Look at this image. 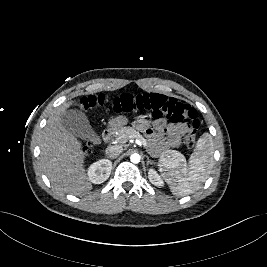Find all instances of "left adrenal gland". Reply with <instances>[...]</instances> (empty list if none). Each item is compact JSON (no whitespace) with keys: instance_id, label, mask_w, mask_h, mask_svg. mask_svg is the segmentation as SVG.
<instances>
[{"instance_id":"a2214340","label":"left adrenal gland","mask_w":267,"mask_h":267,"mask_svg":"<svg viewBox=\"0 0 267 267\" xmlns=\"http://www.w3.org/2000/svg\"><path fill=\"white\" fill-rule=\"evenodd\" d=\"M149 164H153V161H151V160L149 159V156H147V165H149Z\"/></svg>"}]
</instances>
